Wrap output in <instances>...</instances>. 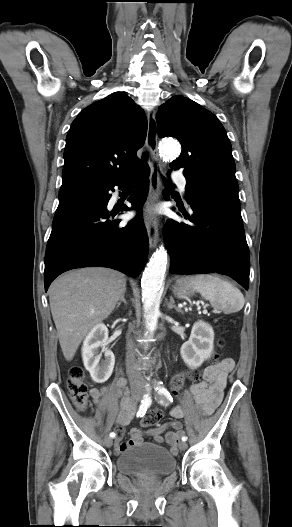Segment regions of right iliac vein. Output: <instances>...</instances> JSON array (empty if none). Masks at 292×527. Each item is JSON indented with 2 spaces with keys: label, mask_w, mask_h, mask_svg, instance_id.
Segmentation results:
<instances>
[{
  "label": "right iliac vein",
  "mask_w": 292,
  "mask_h": 527,
  "mask_svg": "<svg viewBox=\"0 0 292 527\" xmlns=\"http://www.w3.org/2000/svg\"><path fill=\"white\" fill-rule=\"evenodd\" d=\"M141 396H142L141 392H135L132 394V400L137 402L141 399ZM105 444L107 447H111L113 444V440L110 437H108L105 439Z\"/></svg>",
  "instance_id": "obj_1"
}]
</instances>
